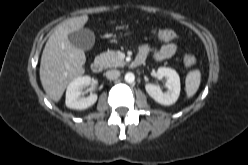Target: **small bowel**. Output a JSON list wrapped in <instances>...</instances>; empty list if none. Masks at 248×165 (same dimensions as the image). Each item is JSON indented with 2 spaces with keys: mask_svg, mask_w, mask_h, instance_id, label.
<instances>
[{
  "mask_svg": "<svg viewBox=\"0 0 248 165\" xmlns=\"http://www.w3.org/2000/svg\"><path fill=\"white\" fill-rule=\"evenodd\" d=\"M177 52V44L173 41H167L163 44L160 49L153 54V58L156 61H163L173 57ZM151 54L150 47L148 45H143L140 47L138 56L142 57L144 60Z\"/></svg>",
  "mask_w": 248,
  "mask_h": 165,
  "instance_id": "1",
  "label": "small bowel"
}]
</instances>
